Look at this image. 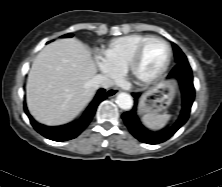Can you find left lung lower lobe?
<instances>
[{
	"mask_svg": "<svg viewBox=\"0 0 222 187\" xmlns=\"http://www.w3.org/2000/svg\"><path fill=\"white\" fill-rule=\"evenodd\" d=\"M168 78L177 79L180 85L182 106L175 122L167 129L160 132H152L146 129L137 117V105L139 93H133L134 106L130 111L122 114V119L130 133L139 141L147 144H159L172 137L188 120L191 106L195 98L192 70L189 63H179L169 73Z\"/></svg>",
	"mask_w": 222,
	"mask_h": 187,
	"instance_id": "left-lung-lower-lobe-1",
	"label": "left lung lower lobe"
}]
</instances>
